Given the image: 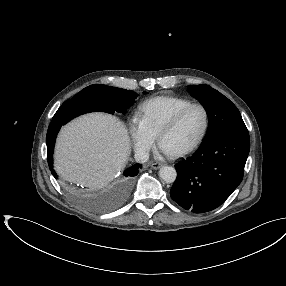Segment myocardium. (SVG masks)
Masks as SVG:
<instances>
[{
	"label": "myocardium",
	"instance_id": "obj_1",
	"mask_svg": "<svg viewBox=\"0 0 286 286\" xmlns=\"http://www.w3.org/2000/svg\"><path fill=\"white\" fill-rule=\"evenodd\" d=\"M198 107L200 108L203 113H204V126L202 129L201 134L199 135V137L197 138V140L189 147H187L186 149H183L181 151L175 152V153H171L170 155L172 157L175 158H179V157H183L186 155L191 154L192 152H194L204 141L209 127H210V114L208 109L206 108L205 105H203L202 103H191L183 108H181L180 110H178L170 119H168L163 125L162 127L159 129L158 133H157V143L159 146H161V140L163 138V136L170 131L172 128H174L178 122L181 120V118L192 108Z\"/></svg>",
	"mask_w": 286,
	"mask_h": 286
}]
</instances>
